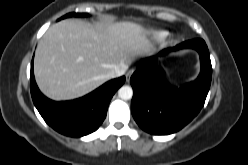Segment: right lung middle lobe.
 Instances as JSON below:
<instances>
[{"label":"right lung middle lobe","instance_id":"1","mask_svg":"<svg viewBox=\"0 0 248 165\" xmlns=\"http://www.w3.org/2000/svg\"><path fill=\"white\" fill-rule=\"evenodd\" d=\"M71 16L84 17V16H87V14H85V13H68V14L64 15L63 17H61V19L71 17Z\"/></svg>","mask_w":248,"mask_h":165}]
</instances>
